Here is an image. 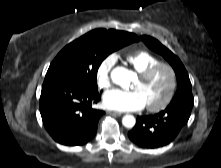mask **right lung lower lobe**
Masks as SVG:
<instances>
[{
  "label": "right lung lower lobe",
  "mask_w": 221,
  "mask_h": 168,
  "mask_svg": "<svg viewBox=\"0 0 221 168\" xmlns=\"http://www.w3.org/2000/svg\"><path fill=\"white\" fill-rule=\"evenodd\" d=\"M100 100L98 89L63 79H45L40 96V113L50 136L67 146L90 141L102 110L92 108Z\"/></svg>",
  "instance_id": "1"
}]
</instances>
